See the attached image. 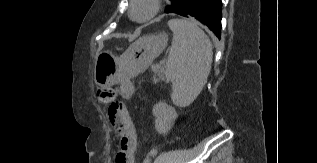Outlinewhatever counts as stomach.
Here are the masks:
<instances>
[{
    "label": "stomach",
    "instance_id": "1",
    "mask_svg": "<svg viewBox=\"0 0 317 163\" xmlns=\"http://www.w3.org/2000/svg\"><path fill=\"white\" fill-rule=\"evenodd\" d=\"M167 35H146L120 56L109 51L99 53L94 65V81L97 86L107 87L136 76L159 56L167 45Z\"/></svg>",
    "mask_w": 317,
    "mask_h": 163
}]
</instances>
